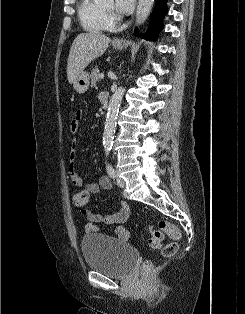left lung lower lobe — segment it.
I'll return each mask as SVG.
<instances>
[{"label": "left lung lower lobe", "mask_w": 245, "mask_h": 314, "mask_svg": "<svg viewBox=\"0 0 245 314\" xmlns=\"http://www.w3.org/2000/svg\"><path fill=\"white\" fill-rule=\"evenodd\" d=\"M167 0H157V3L152 11L150 25L145 37L150 40H155L159 31L163 28V18L167 14ZM137 34V30L135 31Z\"/></svg>", "instance_id": "1"}]
</instances>
